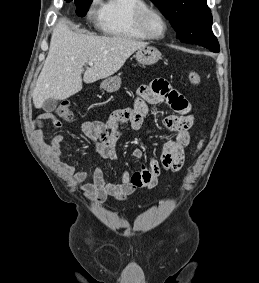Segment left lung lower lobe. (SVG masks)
Listing matches in <instances>:
<instances>
[{
    "label": "left lung lower lobe",
    "mask_w": 259,
    "mask_h": 283,
    "mask_svg": "<svg viewBox=\"0 0 259 283\" xmlns=\"http://www.w3.org/2000/svg\"><path fill=\"white\" fill-rule=\"evenodd\" d=\"M197 45L208 48V49H210V51H212L214 53L219 52V43L217 41L211 42V43H200V44H197Z\"/></svg>",
    "instance_id": "0a47b994"
}]
</instances>
